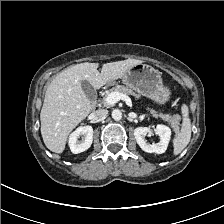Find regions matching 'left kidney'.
<instances>
[{
  "mask_svg": "<svg viewBox=\"0 0 224 224\" xmlns=\"http://www.w3.org/2000/svg\"><path fill=\"white\" fill-rule=\"evenodd\" d=\"M155 133L159 136L158 143L149 144L145 141V136L151 133L148 127H138L134 130V136L140 148L148 153L162 154L166 151L170 138L171 129L165 125H157L154 129Z\"/></svg>",
  "mask_w": 224,
  "mask_h": 224,
  "instance_id": "left-kidney-1",
  "label": "left kidney"
}]
</instances>
